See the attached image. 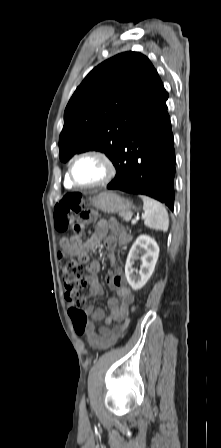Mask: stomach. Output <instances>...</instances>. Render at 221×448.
Segmentation results:
<instances>
[{"mask_svg": "<svg viewBox=\"0 0 221 448\" xmlns=\"http://www.w3.org/2000/svg\"><path fill=\"white\" fill-rule=\"evenodd\" d=\"M90 201L94 207L108 214L119 213L120 215H131V210L134 208L129 200L111 191L102 192Z\"/></svg>", "mask_w": 221, "mask_h": 448, "instance_id": "1", "label": "stomach"}]
</instances>
